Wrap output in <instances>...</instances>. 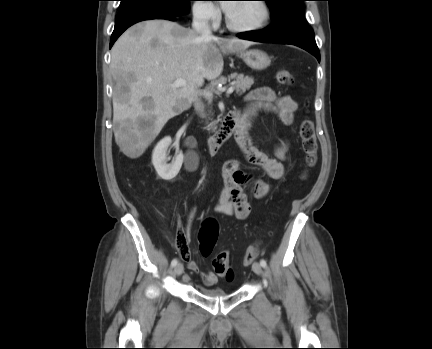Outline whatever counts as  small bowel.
Segmentation results:
<instances>
[{"label": "small bowel", "mask_w": 432, "mask_h": 349, "mask_svg": "<svg viewBox=\"0 0 432 349\" xmlns=\"http://www.w3.org/2000/svg\"><path fill=\"white\" fill-rule=\"evenodd\" d=\"M250 103L247 110L240 116V124L235 131V140L240 147L245 160L261 169L272 179H281L285 175L284 161L288 158V144L284 141L275 147V157H270L259 150L249 135L251 121L255 114L260 111L273 112L278 115L285 125H291L294 113L297 110V102L290 96H278L270 87H259L253 89L247 95ZM198 156L195 152H189L185 159V167L188 171H194L198 166ZM224 187L216 205L217 212L223 215L235 216L239 220L246 219L251 206L248 202V190L256 199L264 198L270 191L269 183L245 172L238 159H229L223 164ZM183 240V244L179 240ZM177 245L182 259L188 262V268L198 273L206 286L217 283V275L212 271L202 272L198 263L191 260L190 250L183 233L177 236Z\"/></svg>", "instance_id": "c3829d8e"}]
</instances>
